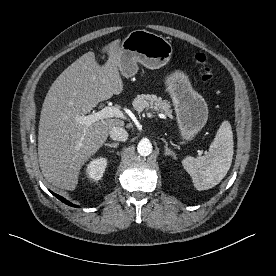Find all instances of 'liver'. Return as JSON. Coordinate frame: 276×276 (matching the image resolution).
<instances>
[{
	"instance_id": "liver-1",
	"label": "liver",
	"mask_w": 276,
	"mask_h": 276,
	"mask_svg": "<svg viewBox=\"0 0 276 276\" xmlns=\"http://www.w3.org/2000/svg\"><path fill=\"white\" fill-rule=\"evenodd\" d=\"M120 39L105 45L101 52L108 60L100 66L89 51L68 66L51 85L40 115L38 160L45 179L56 187L74 190L82 166L106 141L118 118H105L90 126L76 121L99 102L119 95L123 81L119 74Z\"/></svg>"
}]
</instances>
